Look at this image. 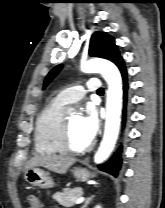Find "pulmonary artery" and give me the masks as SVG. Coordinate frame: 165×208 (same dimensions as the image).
I'll use <instances>...</instances> for the list:
<instances>
[{"label": "pulmonary artery", "instance_id": "1", "mask_svg": "<svg viewBox=\"0 0 165 208\" xmlns=\"http://www.w3.org/2000/svg\"><path fill=\"white\" fill-rule=\"evenodd\" d=\"M101 88V81L98 78H90L85 85H78L75 87L67 88L61 91L57 99L65 105H70L81 100L87 92H98Z\"/></svg>", "mask_w": 165, "mask_h": 208}]
</instances>
